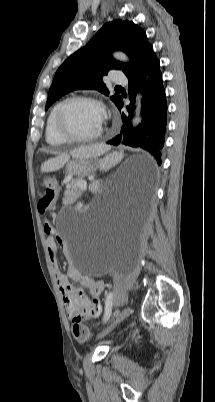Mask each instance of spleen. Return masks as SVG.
<instances>
[{"label": "spleen", "mask_w": 215, "mask_h": 402, "mask_svg": "<svg viewBox=\"0 0 215 402\" xmlns=\"http://www.w3.org/2000/svg\"><path fill=\"white\" fill-rule=\"evenodd\" d=\"M109 149L108 146L104 144H99V145H91L88 147H81L77 150H74L71 152V155H73L75 158H81V157H88L94 154H100ZM121 157V155H120ZM69 160V155L64 154L60 158L56 159H51L45 162L42 166L43 171H52L56 168H58L60 165H63ZM112 159L110 157H106L103 161L100 162V167L102 169L107 168L109 166V163H111Z\"/></svg>", "instance_id": "3e777b00"}]
</instances>
